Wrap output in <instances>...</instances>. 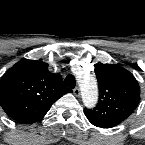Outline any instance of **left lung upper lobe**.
I'll return each mask as SVG.
<instances>
[{
	"label": "left lung upper lobe",
	"instance_id": "left-lung-upper-lobe-1",
	"mask_svg": "<svg viewBox=\"0 0 145 145\" xmlns=\"http://www.w3.org/2000/svg\"><path fill=\"white\" fill-rule=\"evenodd\" d=\"M99 84V102L93 109L85 108L87 119L95 126L112 128L127 119L140 100V87L126 69L111 64L95 67Z\"/></svg>",
	"mask_w": 145,
	"mask_h": 145
}]
</instances>
